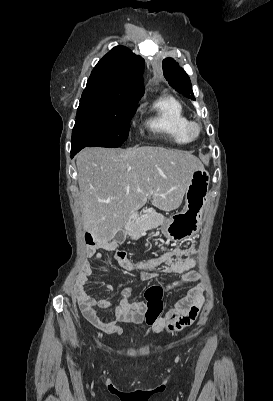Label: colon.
Returning a JSON list of instances; mask_svg holds the SVG:
<instances>
[{"label": "colon", "instance_id": "5ec220e1", "mask_svg": "<svg viewBox=\"0 0 273 401\" xmlns=\"http://www.w3.org/2000/svg\"><path fill=\"white\" fill-rule=\"evenodd\" d=\"M90 257H94L96 252L94 250H90L88 252ZM81 275L87 276L90 273L89 268L83 267L80 270ZM77 287L83 288H74L73 296L74 297H96L97 290L93 287L92 284H86L84 278H77L75 281ZM146 296V307L144 312L145 323L148 326H154L157 321L162 317L164 311V290L160 285H150L145 289ZM170 326V322L168 323Z\"/></svg>", "mask_w": 273, "mask_h": 401}]
</instances>
